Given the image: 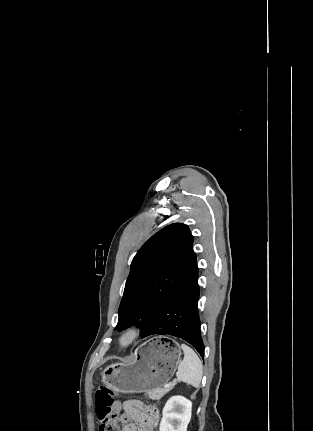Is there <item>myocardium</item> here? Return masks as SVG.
<instances>
[{"label":"myocardium","instance_id":"f54148a6","mask_svg":"<svg viewBox=\"0 0 313 431\" xmlns=\"http://www.w3.org/2000/svg\"><path fill=\"white\" fill-rule=\"evenodd\" d=\"M141 329L132 325L125 328L118 337V344L122 348H128L133 345L140 337Z\"/></svg>","mask_w":313,"mask_h":431}]
</instances>
